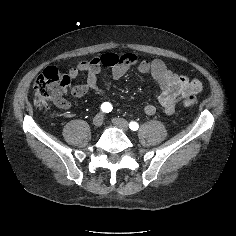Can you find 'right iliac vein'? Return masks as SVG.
Masks as SVG:
<instances>
[{"mask_svg":"<svg viewBox=\"0 0 236 236\" xmlns=\"http://www.w3.org/2000/svg\"><path fill=\"white\" fill-rule=\"evenodd\" d=\"M103 121H104L103 115H102V114H98V115H96V116L93 118L92 123H93V125H94L95 127H100V126H102Z\"/></svg>","mask_w":236,"mask_h":236,"instance_id":"1","label":"right iliac vein"}]
</instances>
